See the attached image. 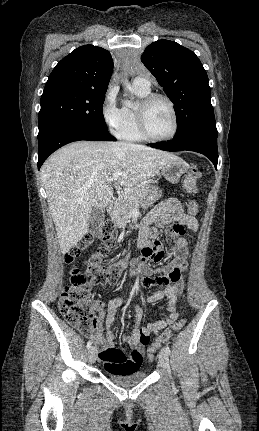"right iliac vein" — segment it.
<instances>
[{
	"instance_id": "right-iliac-vein-1",
	"label": "right iliac vein",
	"mask_w": 259,
	"mask_h": 431,
	"mask_svg": "<svg viewBox=\"0 0 259 431\" xmlns=\"http://www.w3.org/2000/svg\"><path fill=\"white\" fill-rule=\"evenodd\" d=\"M88 357H89L90 363H94L96 361V359H97V350L95 349V347H91L89 349Z\"/></svg>"
}]
</instances>
